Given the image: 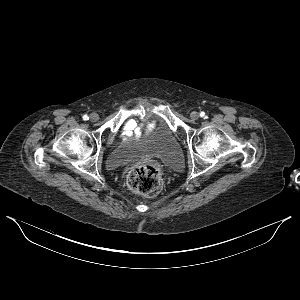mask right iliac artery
Segmentation results:
<instances>
[{"label": "right iliac artery", "instance_id": "obj_1", "mask_svg": "<svg viewBox=\"0 0 300 300\" xmlns=\"http://www.w3.org/2000/svg\"><path fill=\"white\" fill-rule=\"evenodd\" d=\"M82 118H83V120H85V121L89 119V117H88L87 115H84Z\"/></svg>", "mask_w": 300, "mask_h": 300}]
</instances>
